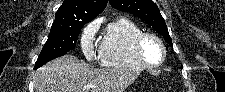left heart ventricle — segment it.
Segmentation results:
<instances>
[{"mask_svg": "<svg viewBox=\"0 0 225 92\" xmlns=\"http://www.w3.org/2000/svg\"><path fill=\"white\" fill-rule=\"evenodd\" d=\"M142 52L145 59L151 63H157L162 56L160 46L154 40L151 39H147L144 42L142 46Z\"/></svg>", "mask_w": 225, "mask_h": 92, "instance_id": "1", "label": "left heart ventricle"}]
</instances>
